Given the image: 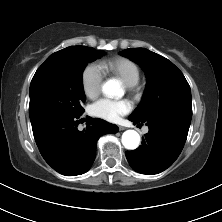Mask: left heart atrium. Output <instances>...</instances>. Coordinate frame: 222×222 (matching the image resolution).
I'll return each instance as SVG.
<instances>
[{
	"instance_id": "left-heart-atrium-1",
	"label": "left heart atrium",
	"mask_w": 222,
	"mask_h": 222,
	"mask_svg": "<svg viewBox=\"0 0 222 222\" xmlns=\"http://www.w3.org/2000/svg\"><path fill=\"white\" fill-rule=\"evenodd\" d=\"M131 110L132 103L127 99L101 98L90 107L92 115L111 122L118 121L121 116L128 114Z\"/></svg>"
}]
</instances>
